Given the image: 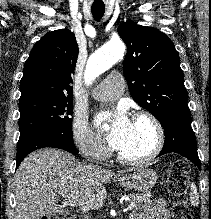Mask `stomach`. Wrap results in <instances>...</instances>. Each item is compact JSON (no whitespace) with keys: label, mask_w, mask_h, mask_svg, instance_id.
I'll use <instances>...</instances> for the list:
<instances>
[{"label":"stomach","mask_w":211,"mask_h":219,"mask_svg":"<svg viewBox=\"0 0 211 219\" xmlns=\"http://www.w3.org/2000/svg\"><path fill=\"white\" fill-rule=\"evenodd\" d=\"M158 175L149 168L140 167L133 173L118 178L119 183L135 191L146 192L151 189L157 182Z\"/></svg>","instance_id":"1"}]
</instances>
